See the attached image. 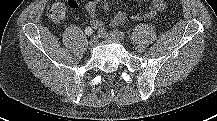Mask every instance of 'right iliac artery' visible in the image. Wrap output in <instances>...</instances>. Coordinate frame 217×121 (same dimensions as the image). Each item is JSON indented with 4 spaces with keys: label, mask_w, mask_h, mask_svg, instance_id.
Wrapping results in <instances>:
<instances>
[{
    "label": "right iliac artery",
    "mask_w": 217,
    "mask_h": 121,
    "mask_svg": "<svg viewBox=\"0 0 217 121\" xmlns=\"http://www.w3.org/2000/svg\"><path fill=\"white\" fill-rule=\"evenodd\" d=\"M98 37H101V36H103V34H104V32L103 31H98Z\"/></svg>",
    "instance_id": "right-iliac-artery-1"
}]
</instances>
